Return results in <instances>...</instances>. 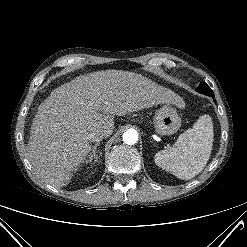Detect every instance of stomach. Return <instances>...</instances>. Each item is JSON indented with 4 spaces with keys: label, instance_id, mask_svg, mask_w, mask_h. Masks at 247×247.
<instances>
[{
    "label": "stomach",
    "instance_id": "0dacf381",
    "mask_svg": "<svg viewBox=\"0 0 247 247\" xmlns=\"http://www.w3.org/2000/svg\"><path fill=\"white\" fill-rule=\"evenodd\" d=\"M153 123L155 132L158 135H172L179 130L181 126V118L174 108L169 104H166L156 112Z\"/></svg>",
    "mask_w": 247,
    "mask_h": 247
}]
</instances>
